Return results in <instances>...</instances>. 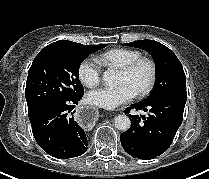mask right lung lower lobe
Instances as JSON below:
<instances>
[{
	"label": "right lung lower lobe",
	"mask_w": 209,
	"mask_h": 179,
	"mask_svg": "<svg viewBox=\"0 0 209 179\" xmlns=\"http://www.w3.org/2000/svg\"><path fill=\"white\" fill-rule=\"evenodd\" d=\"M82 96L52 103L29 118L35 140L55 158L77 157L87 150L84 130L68 115Z\"/></svg>",
	"instance_id": "98d812e1"
}]
</instances>
